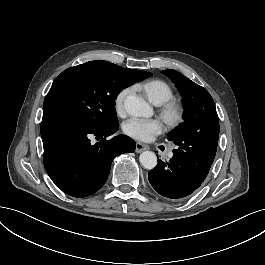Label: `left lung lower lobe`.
Returning a JSON list of instances; mask_svg holds the SVG:
<instances>
[{
	"mask_svg": "<svg viewBox=\"0 0 265 265\" xmlns=\"http://www.w3.org/2000/svg\"><path fill=\"white\" fill-rule=\"evenodd\" d=\"M207 175V171L196 168L174 155L169 162L160 160L148 173V179L160 195L183 200L201 186Z\"/></svg>",
	"mask_w": 265,
	"mask_h": 265,
	"instance_id": "obj_1",
	"label": "left lung lower lobe"
}]
</instances>
